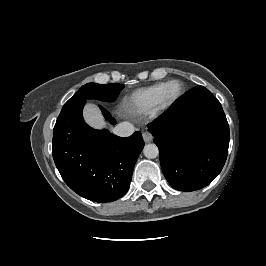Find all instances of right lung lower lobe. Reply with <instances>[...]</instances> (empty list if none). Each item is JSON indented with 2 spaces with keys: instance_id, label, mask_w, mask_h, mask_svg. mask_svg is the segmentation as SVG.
<instances>
[{
  "instance_id": "obj_1",
  "label": "right lung lower lobe",
  "mask_w": 266,
  "mask_h": 266,
  "mask_svg": "<svg viewBox=\"0 0 266 266\" xmlns=\"http://www.w3.org/2000/svg\"><path fill=\"white\" fill-rule=\"evenodd\" d=\"M85 102L58 117L54 126L52 155L65 183L78 195L99 203L126 194L133 168L143 149L140 132L121 138L107 129L95 130L82 116ZM110 123L111 114L99 106Z\"/></svg>"
}]
</instances>
